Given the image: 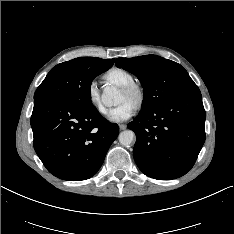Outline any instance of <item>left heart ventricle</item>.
Returning a JSON list of instances; mask_svg holds the SVG:
<instances>
[{"mask_svg": "<svg viewBox=\"0 0 234 234\" xmlns=\"http://www.w3.org/2000/svg\"><path fill=\"white\" fill-rule=\"evenodd\" d=\"M122 102H128V103H130V104L133 105V101H132L130 98H128V97H127L126 95H124L122 92H119L116 103H117V104H120V103H122Z\"/></svg>", "mask_w": 234, "mask_h": 234, "instance_id": "left-heart-ventricle-1", "label": "left heart ventricle"}]
</instances>
